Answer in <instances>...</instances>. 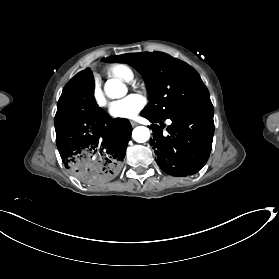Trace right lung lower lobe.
Listing matches in <instances>:
<instances>
[{"label": "right lung lower lobe", "instance_id": "right-lung-lower-lobe-1", "mask_svg": "<svg viewBox=\"0 0 279 279\" xmlns=\"http://www.w3.org/2000/svg\"><path fill=\"white\" fill-rule=\"evenodd\" d=\"M54 122L63 164L78 180L100 185L117 178L132 128L128 120L112 119L98 107L90 68L65 85Z\"/></svg>", "mask_w": 279, "mask_h": 279}]
</instances>
